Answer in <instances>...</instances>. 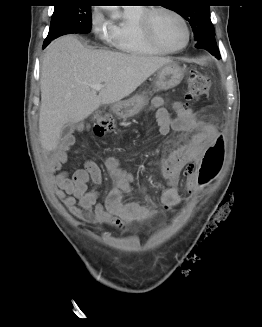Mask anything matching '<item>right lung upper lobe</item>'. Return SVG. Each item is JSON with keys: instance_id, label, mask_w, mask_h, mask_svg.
Returning <instances> with one entry per match:
<instances>
[{"instance_id": "right-lung-upper-lobe-1", "label": "right lung upper lobe", "mask_w": 262, "mask_h": 327, "mask_svg": "<svg viewBox=\"0 0 262 327\" xmlns=\"http://www.w3.org/2000/svg\"><path fill=\"white\" fill-rule=\"evenodd\" d=\"M57 1H65V0H57Z\"/></svg>"}]
</instances>
